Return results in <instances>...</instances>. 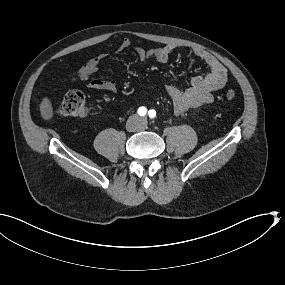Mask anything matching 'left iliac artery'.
<instances>
[{
  "instance_id": "1",
  "label": "left iliac artery",
  "mask_w": 285,
  "mask_h": 285,
  "mask_svg": "<svg viewBox=\"0 0 285 285\" xmlns=\"http://www.w3.org/2000/svg\"><path fill=\"white\" fill-rule=\"evenodd\" d=\"M148 115H149V117L154 118L156 116V111L155 110H149Z\"/></svg>"
}]
</instances>
